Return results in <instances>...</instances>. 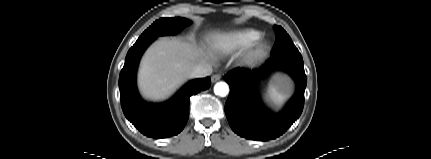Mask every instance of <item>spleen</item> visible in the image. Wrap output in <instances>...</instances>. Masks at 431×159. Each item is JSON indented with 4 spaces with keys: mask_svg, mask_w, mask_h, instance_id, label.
I'll return each mask as SVG.
<instances>
[{
    "mask_svg": "<svg viewBox=\"0 0 431 159\" xmlns=\"http://www.w3.org/2000/svg\"><path fill=\"white\" fill-rule=\"evenodd\" d=\"M269 98L276 104H281L286 100V97L279 94L273 87L268 89Z\"/></svg>",
    "mask_w": 431,
    "mask_h": 159,
    "instance_id": "1",
    "label": "spleen"
}]
</instances>
